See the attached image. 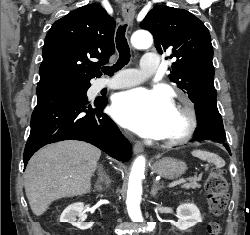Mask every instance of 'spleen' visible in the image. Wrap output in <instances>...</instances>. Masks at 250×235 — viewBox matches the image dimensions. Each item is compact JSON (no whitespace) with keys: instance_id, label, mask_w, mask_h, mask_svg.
<instances>
[{"instance_id":"3e777b00","label":"spleen","mask_w":250,"mask_h":235,"mask_svg":"<svg viewBox=\"0 0 250 235\" xmlns=\"http://www.w3.org/2000/svg\"><path fill=\"white\" fill-rule=\"evenodd\" d=\"M192 155L201 159L208 161L210 163H214L217 168H221L225 165V161L220 158L218 155L206 152V151H201V150H195L192 152Z\"/></svg>"}]
</instances>
